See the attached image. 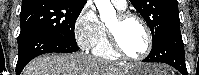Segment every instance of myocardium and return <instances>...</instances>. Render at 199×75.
Wrapping results in <instances>:
<instances>
[{
	"label": "myocardium",
	"mask_w": 199,
	"mask_h": 75,
	"mask_svg": "<svg viewBox=\"0 0 199 75\" xmlns=\"http://www.w3.org/2000/svg\"><path fill=\"white\" fill-rule=\"evenodd\" d=\"M117 19L119 23H123L127 20H136L138 21L141 26L143 27L145 34H146V38H147V46L145 51L138 56H131L129 54L126 53V51L123 49V47L121 46L117 34L110 28L107 26V35H108V39L109 42L113 48V50L122 58L127 59V60H131V61H140L145 59L151 52L152 47H153V37H152V33L151 30L147 24V22L140 17L139 15L135 14V13H131V12H121L117 15Z\"/></svg>",
	"instance_id": "obj_1"
}]
</instances>
